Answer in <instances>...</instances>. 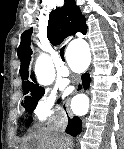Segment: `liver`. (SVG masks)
I'll use <instances>...</instances> for the list:
<instances>
[{"instance_id": "liver-1", "label": "liver", "mask_w": 124, "mask_h": 149, "mask_svg": "<svg viewBox=\"0 0 124 149\" xmlns=\"http://www.w3.org/2000/svg\"><path fill=\"white\" fill-rule=\"evenodd\" d=\"M67 137H60L52 127L39 129L29 134L23 141L22 149H30L34 145L37 149H65L69 145Z\"/></svg>"}]
</instances>
